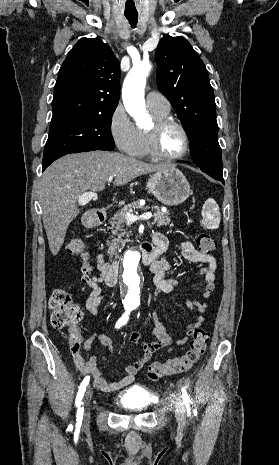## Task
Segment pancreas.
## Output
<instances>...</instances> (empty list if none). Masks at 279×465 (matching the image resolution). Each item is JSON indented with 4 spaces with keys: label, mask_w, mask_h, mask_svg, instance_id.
<instances>
[{
    "label": "pancreas",
    "mask_w": 279,
    "mask_h": 465,
    "mask_svg": "<svg viewBox=\"0 0 279 465\" xmlns=\"http://www.w3.org/2000/svg\"><path fill=\"white\" fill-rule=\"evenodd\" d=\"M140 208L138 202H133L131 204L125 205L119 213L110 219V229L112 230V235L117 236L111 242L107 241L109 246L108 253L110 257L118 254V250L121 249L126 240L123 239V236L126 234L124 229V224L127 222L126 213H132L135 209ZM154 210V221L153 224H156L158 227L169 225L173 227V223H170V217L168 212H162L158 206H152Z\"/></svg>",
    "instance_id": "1"
}]
</instances>
